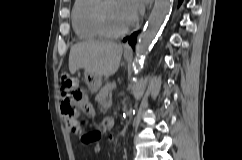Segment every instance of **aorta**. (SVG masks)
<instances>
[{"label": "aorta", "mask_w": 242, "mask_h": 160, "mask_svg": "<svg viewBox=\"0 0 242 160\" xmlns=\"http://www.w3.org/2000/svg\"><path fill=\"white\" fill-rule=\"evenodd\" d=\"M172 2L173 0H155L152 12L137 42V57L134 65L136 74L142 66L144 58L156 38L166 15L169 13Z\"/></svg>", "instance_id": "1"}]
</instances>
